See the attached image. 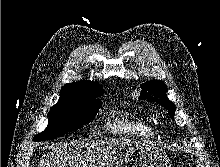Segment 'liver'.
Returning a JSON list of instances; mask_svg holds the SVG:
<instances>
[{
    "label": "liver",
    "mask_w": 220,
    "mask_h": 167,
    "mask_svg": "<svg viewBox=\"0 0 220 167\" xmlns=\"http://www.w3.org/2000/svg\"><path fill=\"white\" fill-rule=\"evenodd\" d=\"M130 144L127 139L54 144L42 156L38 167H113L122 149Z\"/></svg>",
    "instance_id": "1"
}]
</instances>
